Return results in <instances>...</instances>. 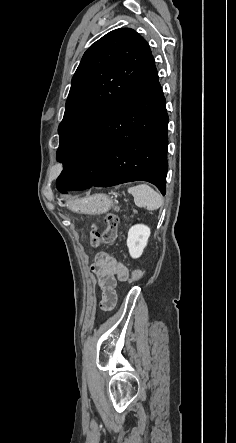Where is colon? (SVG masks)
Returning <instances> with one entry per match:
<instances>
[{
	"mask_svg": "<svg viewBox=\"0 0 236 443\" xmlns=\"http://www.w3.org/2000/svg\"><path fill=\"white\" fill-rule=\"evenodd\" d=\"M106 228L100 232L97 227H92L90 234V243L92 247H97L101 243L105 245H112L117 238V230L119 218L114 212H110L105 216ZM143 276V271L136 269L132 272V280L137 281Z\"/></svg>",
	"mask_w": 236,
	"mask_h": 443,
	"instance_id": "colon-1",
	"label": "colon"
}]
</instances>
